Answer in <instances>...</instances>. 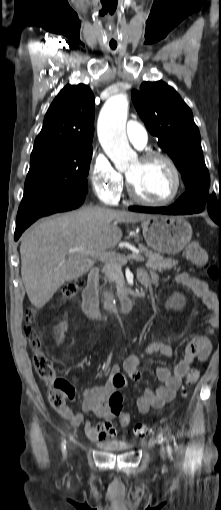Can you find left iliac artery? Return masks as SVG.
I'll list each match as a JSON object with an SVG mask.
<instances>
[{
    "mask_svg": "<svg viewBox=\"0 0 221 510\" xmlns=\"http://www.w3.org/2000/svg\"><path fill=\"white\" fill-rule=\"evenodd\" d=\"M173 439H174V444L176 445L175 438H173Z\"/></svg>",
    "mask_w": 221,
    "mask_h": 510,
    "instance_id": "44dca946",
    "label": "left iliac artery"
}]
</instances>
